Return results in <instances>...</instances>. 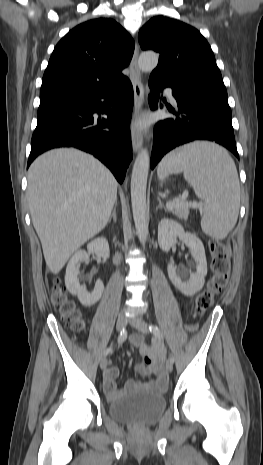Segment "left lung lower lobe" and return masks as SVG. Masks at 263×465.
Segmentation results:
<instances>
[{"label": "left lung lower lobe", "instance_id": "1", "mask_svg": "<svg viewBox=\"0 0 263 465\" xmlns=\"http://www.w3.org/2000/svg\"><path fill=\"white\" fill-rule=\"evenodd\" d=\"M149 87L151 109L158 107L160 91L165 87L172 88L178 104V112L170 110L177 117L159 121L154 128L151 169L173 148L195 140L216 142L239 159L227 97L205 93L187 82L172 83L158 75H150Z\"/></svg>", "mask_w": 263, "mask_h": 465}]
</instances>
